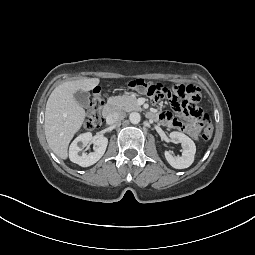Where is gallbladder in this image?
Returning <instances> with one entry per match:
<instances>
[{"label": "gallbladder", "instance_id": "obj_1", "mask_svg": "<svg viewBox=\"0 0 255 255\" xmlns=\"http://www.w3.org/2000/svg\"><path fill=\"white\" fill-rule=\"evenodd\" d=\"M74 97L81 107L86 108L89 106V93L79 90L74 94Z\"/></svg>", "mask_w": 255, "mask_h": 255}]
</instances>
